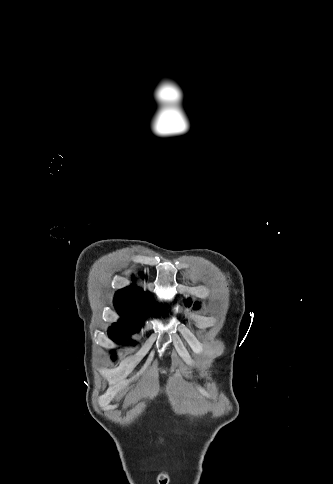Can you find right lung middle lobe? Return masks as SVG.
Segmentation results:
<instances>
[{"label": "right lung middle lobe", "instance_id": "dd1d6c3e", "mask_svg": "<svg viewBox=\"0 0 333 484\" xmlns=\"http://www.w3.org/2000/svg\"><path fill=\"white\" fill-rule=\"evenodd\" d=\"M139 328L133 325L126 324H113L109 328V335L112 340L118 343H127L130 339V334L138 331Z\"/></svg>", "mask_w": 333, "mask_h": 484}]
</instances>
